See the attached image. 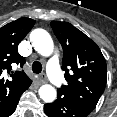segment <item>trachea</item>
<instances>
[{
	"instance_id": "1",
	"label": "trachea",
	"mask_w": 117,
	"mask_h": 117,
	"mask_svg": "<svg viewBox=\"0 0 117 117\" xmlns=\"http://www.w3.org/2000/svg\"><path fill=\"white\" fill-rule=\"evenodd\" d=\"M32 71L35 74H39L42 71V65L39 61H35L32 65Z\"/></svg>"
}]
</instances>
